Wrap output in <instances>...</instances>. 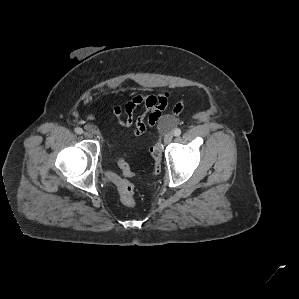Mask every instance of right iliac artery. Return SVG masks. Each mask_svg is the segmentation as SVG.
Segmentation results:
<instances>
[{"mask_svg": "<svg viewBox=\"0 0 299 299\" xmlns=\"http://www.w3.org/2000/svg\"><path fill=\"white\" fill-rule=\"evenodd\" d=\"M75 132H76L77 134H82V133H83V130H82V128L77 127V128H75Z\"/></svg>", "mask_w": 299, "mask_h": 299, "instance_id": "1", "label": "right iliac artery"}]
</instances>
